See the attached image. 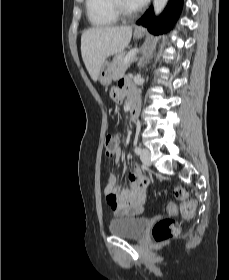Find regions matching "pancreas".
I'll return each instance as SVG.
<instances>
[{
	"mask_svg": "<svg viewBox=\"0 0 229 280\" xmlns=\"http://www.w3.org/2000/svg\"><path fill=\"white\" fill-rule=\"evenodd\" d=\"M126 53H120L117 54L111 63V72H112V78L117 79L121 75L124 74V72L128 69L130 64L134 61L135 57L131 58V60L125 64L124 59H125Z\"/></svg>",
	"mask_w": 229,
	"mask_h": 280,
	"instance_id": "1",
	"label": "pancreas"
}]
</instances>
